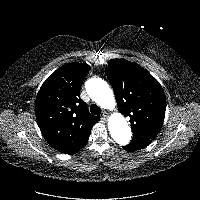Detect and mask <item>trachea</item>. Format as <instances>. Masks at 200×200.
Segmentation results:
<instances>
[{"mask_svg":"<svg viewBox=\"0 0 200 200\" xmlns=\"http://www.w3.org/2000/svg\"><path fill=\"white\" fill-rule=\"evenodd\" d=\"M90 111L94 115H100L101 114V109L97 105H95V104H92L90 106Z\"/></svg>","mask_w":200,"mask_h":200,"instance_id":"1","label":"trachea"}]
</instances>
